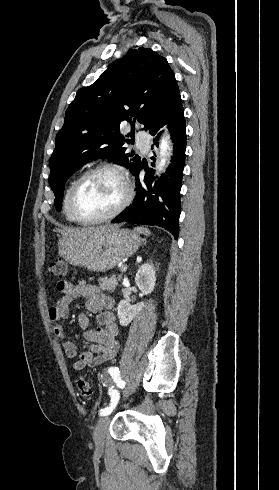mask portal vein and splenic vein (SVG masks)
Returning a JSON list of instances; mask_svg holds the SVG:
<instances>
[{
	"label": "portal vein and splenic vein",
	"instance_id": "1",
	"mask_svg": "<svg viewBox=\"0 0 279 490\" xmlns=\"http://www.w3.org/2000/svg\"><path fill=\"white\" fill-rule=\"evenodd\" d=\"M121 272H126L127 270V266H122V268H120Z\"/></svg>",
	"mask_w": 279,
	"mask_h": 490
}]
</instances>
